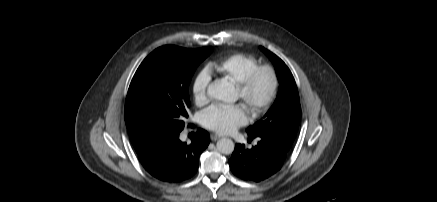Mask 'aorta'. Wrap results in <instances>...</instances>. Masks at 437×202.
<instances>
[{"instance_id": "762f6f07", "label": "aorta", "mask_w": 437, "mask_h": 202, "mask_svg": "<svg viewBox=\"0 0 437 202\" xmlns=\"http://www.w3.org/2000/svg\"><path fill=\"white\" fill-rule=\"evenodd\" d=\"M207 94L216 100L226 103H232L237 100V94L234 85L225 80L217 79L207 88ZM217 150L222 154H231L234 151V142L229 138H222L217 141Z\"/></svg>"}]
</instances>
